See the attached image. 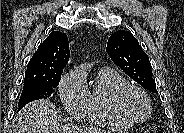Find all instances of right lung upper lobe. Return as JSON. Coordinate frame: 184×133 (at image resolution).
Wrapping results in <instances>:
<instances>
[{"label":"right lung upper lobe","instance_id":"cb5924a9","mask_svg":"<svg viewBox=\"0 0 184 133\" xmlns=\"http://www.w3.org/2000/svg\"><path fill=\"white\" fill-rule=\"evenodd\" d=\"M69 56L67 35L60 31L51 32L29 61L24 82L48 81L61 77Z\"/></svg>","mask_w":184,"mask_h":133}]
</instances>
